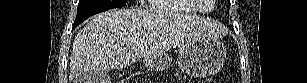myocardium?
Here are the masks:
<instances>
[{
  "label": "myocardium",
  "mask_w": 307,
  "mask_h": 83,
  "mask_svg": "<svg viewBox=\"0 0 307 83\" xmlns=\"http://www.w3.org/2000/svg\"><path fill=\"white\" fill-rule=\"evenodd\" d=\"M188 1H190L196 7L197 11L199 10L200 12H203V13H209L213 8V6H210L209 8L204 9L200 4V0H188Z\"/></svg>",
  "instance_id": "myocardium-1"
}]
</instances>
